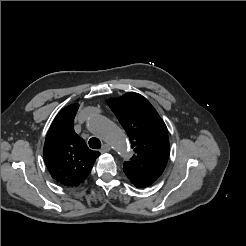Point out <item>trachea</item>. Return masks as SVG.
<instances>
[{
  "label": "trachea",
  "mask_w": 246,
  "mask_h": 246,
  "mask_svg": "<svg viewBox=\"0 0 246 246\" xmlns=\"http://www.w3.org/2000/svg\"><path fill=\"white\" fill-rule=\"evenodd\" d=\"M88 143H89V146L93 149L101 148V142L98 138L92 137Z\"/></svg>",
  "instance_id": "1"
}]
</instances>
